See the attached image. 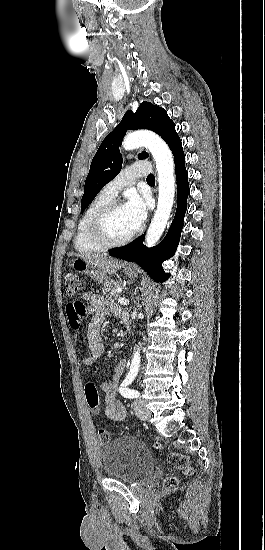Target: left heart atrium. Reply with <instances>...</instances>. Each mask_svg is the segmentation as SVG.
Masks as SVG:
<instances>
[{
	"mask_svg": "<svg viewBox=\"0 0 265 550\" xmlns=\"http://www.w3.org/2000/svg\"><path fill=\"white\" fill-rule=\"evenodd\" d=\"M133 231L138 230L147 216L146 202L137 194H131L123 206Z\"/></svg>",
	"mask_w": 265,
	"mask_h": 550,
	"instance_id": "obj_1",
	"label": "left heart atrium"
}]
</instances>
